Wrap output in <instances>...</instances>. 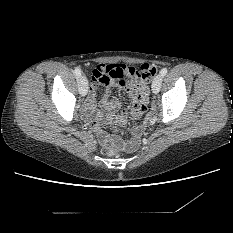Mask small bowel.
<instances>
[{"label": "small bowel", "mask_w": 233, "mask_h": 233, "mask_svg": "<svg viewBox=\"0 0 233 233\" xmlns=\"http://www.w3.org/2000/svg\"><path fill=\"white\" fill-rule=\"evenodd\" d=\"M101 72L105 73L109 77V81L99 82L94 80V85L89 89V95L85 105V113L92 118V124L94 132L101 145H107L112 142H127L129 147L134 149L138 145L139 136L141 131L144 129V125L136 126L132 128L127 137H120L109 135L98 127V120L102 117V111L96 106V85L97 83H103L105 85V91L101 99V108L111 113L110 120L113 122H123L126 119H140L146 109L145 102L139 103L136 100V96L140 91L145 90L147 81L136 78L132 79L128 84L125 83L121 74L125 68L123 64L118 63H99L96 67ZM116 87L119 90H124L132 99V107L127 111H120L121 103L119 100L111 96V88Z\"/></svg>", "instance_id": "small-bowel-1"}]
</instances>
